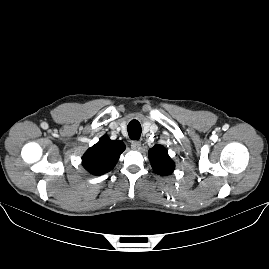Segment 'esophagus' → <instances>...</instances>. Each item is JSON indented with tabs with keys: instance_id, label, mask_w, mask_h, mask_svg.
Returning <instances> with one entry per match:
<instances>
[{
	"instance_id": "esophagus-1",
	"label": "esophagus",
	"mask_w": 269,
	"mask_h": 269,
	"mask_svg": "<svg viewBox=\"0 0 269 269\" xmlns=\"http://www.w3.org/2000/svg\"><path fill=\"white\" fill-rule=\"evenodd\" d=\"M131 148H132L133 150H139V149L141 148V142L138 141V140H134V141H132V143H131Z\"/></svg>"
}]
</instances>
